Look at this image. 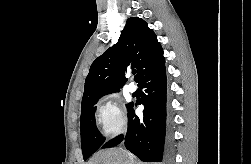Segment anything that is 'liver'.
<instances>
[{
	"instance_id": "6515ba94",
	"label": "liver",
	"mask_w": 251,
	"mask_h": 164,
	"mask_svg": "<svg viewBox=\"0 0 251 164\" xmlns=\"http://www.w3.org/2000/svg\"><path fill=\"white\" fill-rule=\"evenodd\" d=\"M87 164H142L128 151L111 148L98 151Z\"/></svg>"
}]
</instances>
